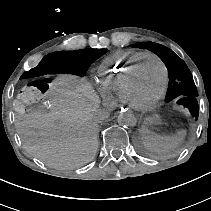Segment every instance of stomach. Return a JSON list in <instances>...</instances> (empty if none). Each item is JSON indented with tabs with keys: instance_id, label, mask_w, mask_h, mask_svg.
<instances>
[{
	"instance_id": "0dacf381",
	"label": "stomach",
	"mask_w": 211,
	"mask_h": 211,
	"mask_svg": "<svg viewBox=\"0 0 211 211\" xmlns=\"http://www.w3.org/2000/svg\"><path fill=\"white\" fill-rule=\"evenodd\" d=\"M160 118L158 115H154L151 117L146 118V124H155V123H159Z\"/></svg>"
}]
</instances>
